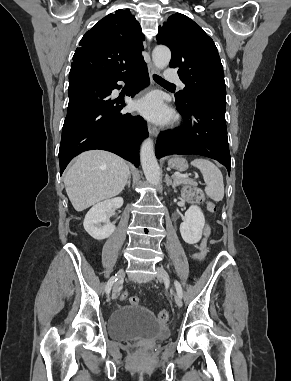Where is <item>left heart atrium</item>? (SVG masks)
<instances>
[{"label": "left heart atrium", "mask_w": 291, "mask_h": 381, "mask_svg": "<svg viewBox=\"0 0 291 381\" xmlns=\"http://www.w3.org/2000/svg\"><path fill=\"white\" fill-rule=\"evenodd\" d=\"M136 110L154 122H166L171 114L158 94H149L135 103Z\"/></svg>", "instance_id": "left-heart-atrium-1"}]
</instances>
